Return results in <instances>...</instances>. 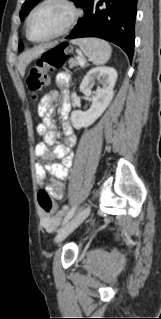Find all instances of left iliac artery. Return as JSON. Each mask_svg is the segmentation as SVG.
<instances>
[{"mask_svg": "<svg viewBox=\"0 0 161 319\" xmlns=\"http://www.w3.org/2000/svg\"><path fill=\"white\" fill-rule=\"evenodd\" d=\"M76 209H77V205H75L74 207H72L69 212L66 214L65 216V219L63 221V224H66L72 217L73 215L75 214L76 212Z\"/></svg>", "mask_w": 161, "mask_h": 319, "instance_id": "obj_1", "label": "left iliac artery"}]
</instances>
